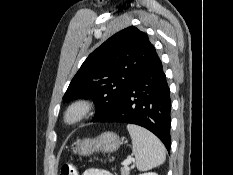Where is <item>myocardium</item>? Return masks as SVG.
<instances>
[{
    "label": "myocardium",
    "mask_w": 233,
    "mask_h": 175,
    "mask_svg": "<svg viewBox=\"0 0 233 175\" xmlns=\"http://www.w3.org/2000/svg\"><path fill=\"white\" fill-rule=\"evenodd\" d=\"M95 104L89 98H78L72 101L66 108L63 121L66 125H75L86 117H88L94 110Z\"/></svg>",
    "instance_id": "1"
}]
</instances>
